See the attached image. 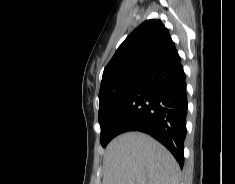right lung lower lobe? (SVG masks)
Wrapping results in <instances>:
<instances>
[{
    "mask_svg": "<svg viewBox=\"0 0 235 184\" xmlns=\"http://www.w3.org/2000/svg\"><path fill=\"white\" fill-rule=\"evenodd\" d=\"M187 94L178 52L152 69L132 92L119 113L112 132L147 133L162 143L184 165Z\"/></svg>",
    "mask_w": 235,
    "mask_h": 184,
    "instance_id": "1",
    "label": "right lung lower lobe"
}]
</instances>
